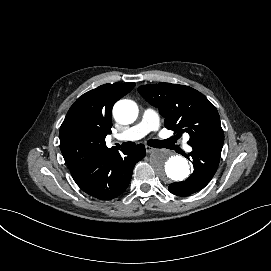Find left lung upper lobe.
<instances>
[{
  "label": "left lung upper lobe",
  "instance_id": "obj_1",
  "mask_svg": "<svg viewBox=\"0 0 271 271\" xmlns=\"http://www.w3.org/2000/svg\"><path fill=\"white\" fill-rule=\"evenodd\" d=\"M141 96L157 107L167 129L190 135L188 144L221 154L224 132L215 106L197 90L178 84L159 83L138 88Z\"/></svg>",
  "mask_w": 271,
  "mask_h": 271
}]
</instances>
